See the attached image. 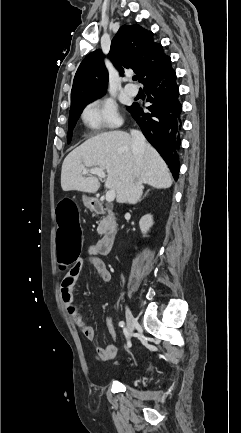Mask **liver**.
I'll return each instance as SVG.
<instances>
[{"label":"liver","mask_w":241,"mask_h":433,"mask_svg":"<svg viewBox=\"0 0 241 433\" xmlns=\"http://www.w3.org/2000/svg\"><path fill=\"white\" fill-rule=\"evenodd\" d=\"M132 137L123 131L98 134L69 153L63 161L61 187L95 193L100 186L95 176L84 177L83 170L101 168L107 171L105 188L115 190L118 203L135 204L143 192V184L158 189L172 185V175L158 152L146 143L143 163L137 181L134 178Z\"/></svg>","instance_id":"1"}]
</instances>
